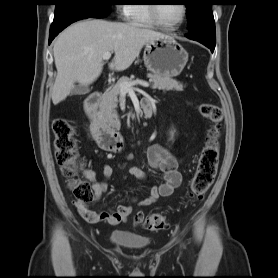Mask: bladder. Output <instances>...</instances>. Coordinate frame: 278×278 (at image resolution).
Returning <instances> with one entry per match:
<instances>
[{"label":"bladder","instance_id":"1","mask_svg":"<svg viewBox=\"0 0 278 278\" xmlns=\"http://www.w3.org/2000/svg\"><path fill=\"white\" fill-rule=\"evenodd\" d=\"M110 241L113 245L131 250H138L147 247L150 239L145 236L116 230L110 235Z\"/></svg>","mask_w":278,"mask_h":278}]
</instances>
